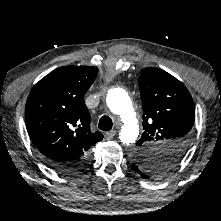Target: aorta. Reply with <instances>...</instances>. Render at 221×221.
I'll return each mask as SVG.
<instances>
[{
  "label": "aorta",
  "mask_w": 221,
  "mask_h": 221,
  "mask_svg": "<svg viewBox=\"0 0 221 221\" xmlns=\"http://www.w3.org/2000/svg\"><path fill=\"white\" fill-rule=\"evenodd\" d=\"M106 103L110 111L119 117L122 124L119 133L120 141L124 145L134 143L139 134V125L127 92L121 88L109 90Z\"/></svg>",
  "instance_id": "aorta-1"
}]
</instances>
